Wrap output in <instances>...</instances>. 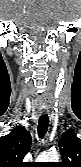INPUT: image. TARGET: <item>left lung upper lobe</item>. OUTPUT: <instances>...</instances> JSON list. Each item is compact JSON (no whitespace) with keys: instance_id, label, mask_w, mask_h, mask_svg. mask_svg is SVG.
<instances>
[{"instance_id":"left-lung-upper-lobe-1","label":"left lung upper lobe","mask_w":81,"mask_h":167,"mask_svg":"<svg viewBox=\"0 0 81 167\" xmlns=\"http://www.w3.org/2000/svg\"><path fill=\"white\" fill-rule=\"evenodd\" d=\"M59 147L63 161L57 167H81V139L72 130L61 135Z\"/></svg>"}]
</instances>
